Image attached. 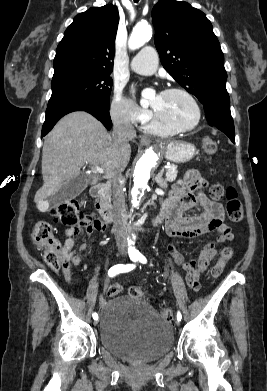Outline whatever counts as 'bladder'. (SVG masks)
I'll use <instances>...</instances> for the list:
<instances>
[{
    "label": "bladder",
    "instance_id": "bladder-1",
    "mask_svg": "<svg viewBox=\"0 0 267 391\" xmlns=\"http://www.w3.org/2000/svg\"><path fill=\"white\" fill-rule=\"evenodd\" d=\"M98 324L103 348L129 362L158 360L173 347L172 327L143 298L110 299L101 308Z\"/></svg>",
    "mask_w": 267,
    "mask_h": 391
}]
</instances>
